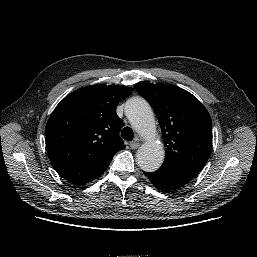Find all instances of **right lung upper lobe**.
Segmentation results:
<instances>
[{"label":"right lung upper lobe","mask_w":257,"mask_h":257,"mask_svg":"<svg viewBox=\"0 0 257 257\" xmlns=\"http://www.w3.org/2000/svg\"><path fill=\"white\" fill-rule=\"evenodd\" d=\"M131 93L123 85L96 84L70 93L56 106L45 141L48 157L63 178L77 185L93 181L125 148L115 108Z\"/></svg>","instance_id":"cb5924a9"}]
</instances>
